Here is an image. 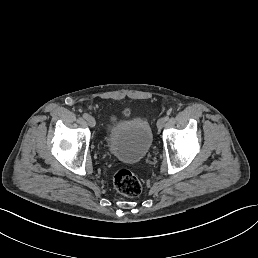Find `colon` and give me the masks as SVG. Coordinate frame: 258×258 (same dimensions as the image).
Masks as SVG:
<instances>
[{
  "label": "colon",
  "mask_w": 258,
  "mask_h": 258,
  "mask_svg": "<svg viewBox=\"0 0 258 258\" xmlns=\"http://www.w3.org/2000/svg\"><path fill=\"white\" fill-rule=\"evenodd\" d=\"M124 116L129 115V111L124 109L122 111ZM114 187L124 196L136 197L141 191V183L138 178L128 169H119L114 176Z\"/></svg>",
  "instance_id": "colon-1"
}]
</instances>
